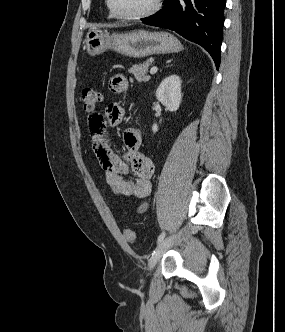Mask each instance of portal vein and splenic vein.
Here are the masks:
<instances>
[{
  "instance_id": "portal-vein-and-splenic-vein-1",
  "label": "portal vein and splenic vein",
  "mask_w": 285,
  "mask_h": 332,
  "mask_svg": "<svg viewBox=\"0 0 285 332\" xmlns=\"http://www.w3.org/2000/svg\"><path fill=\"white\" fill-rule=\"evenodd\" d=\"M157 70H158V68H157L156 66H153V67L150 69V73H151V74H154V73L157 72Z\"/></svg>"
}]
</instances>
